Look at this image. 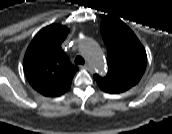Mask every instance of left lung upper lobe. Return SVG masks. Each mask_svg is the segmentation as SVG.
I'll use <instances>...</instances> for the list:
<instances>
[{
    "label": "left lung upper lobe",
    "instance_id": "obj_1",
    "mask_svg": "<svg viewBox=\"0 0 172 134\" xmlns=\"http://www.w3.org/2000/svg\"><path fill=\"white\" fill-rule=\"evenodd\" d=\"M107 47L108 73L95 74L99 88L107 93H121L135 86L144 74L147 55L132 31L117 25H101Z\"/></svg>",
    "mask_w": 172,
    "mask_h": 134
}]
</instances>
